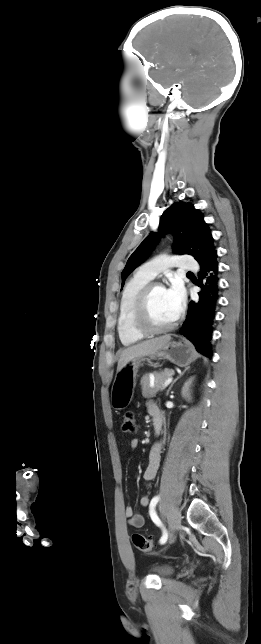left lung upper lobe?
<instances>
[{"instance_id":"obj_1","label":"left lung upper lobe","mask_w":261,"mask_h":644,"mask_svg":"<svg viewBox=\"0 0 261 644\" xmlns=\"http://www.w3.org/2000/svg\"><path fill=\"white\" fill-rule=\"evenodd\" d=\"M167 232L174 237V252L192 255L199 264L216 252L211 231L202 213L190 203H174L162 214L158 232H151L128 259L122 272V287L131 271L147 258L157 239Z\"/></svg>"}]
</instances>
